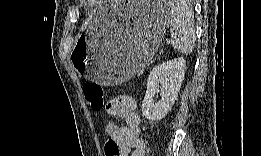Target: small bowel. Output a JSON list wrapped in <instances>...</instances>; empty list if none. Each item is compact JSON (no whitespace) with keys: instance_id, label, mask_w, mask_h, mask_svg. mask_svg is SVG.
Returning a JSON list of instances; mask_svg holds the SVG:
<instances>
[{"instance_id":"c3829d8e","label":"small bowel","mask_w":261,"mask_h":156,"mask_svg":"<svg viewBox=\"0 0 261 156\" xmlns=\"http://www.w3.org/2000/svg\"><path fill=\"white\" fill-rule=\"evenodd\" d=\"M106 112L125 122V125L113 121L105 124V131L119 146L121 156H143L145 143L141 138L142 127L134 98L128 95L116 96L108 101Z\"/></svg>"}]
</instances>
